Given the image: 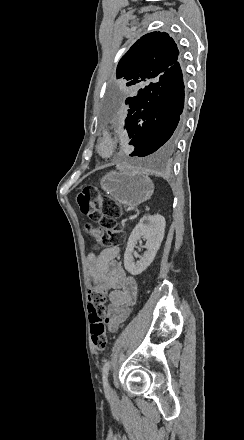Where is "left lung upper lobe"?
Here are the masks:
<instances>
[{
  "mask_svg": "<svg viewBox=\"0 0 244 440\" xmlns=\"http://www.w3.org/2000/svg\"><path fill=\"white\" fill-rule=\"evenodd\" d=\"M174 40L165 32H153L134 43L118 63L117 79L128 80L126 85H147L156 81L179 60Z\"/></svg>",
  "mask_w": 244,
  "mask_h": 440,
  "instance_id": "5c2ea615",
  "label": "left lung upper lobe"
}]
</instances>
